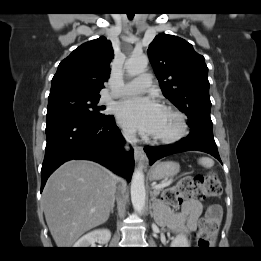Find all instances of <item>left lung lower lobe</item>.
<instances>
[{
  "label": "left lung lower lobe",
  "instance_id": "1",
  "mask_svg": "<svg viewBox=\"0 0 261 261\" xmlns=\"http://www.w3.org/2000/svg\"><path fill=\"white\" fill-rule=\"evenodd\" d=\"M190 128V134L175 144L164 145L160 148L144 147L149 158V163L153 164L162 157L190 150L206 152L221 162L217 145L213 137L212 126L198 125Z\"/></svg>",
  "mask_w": 261,
  "mask_h": 261
}]
</instances>
